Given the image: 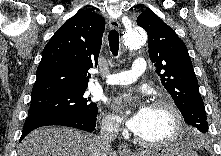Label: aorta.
Segmentation results:
<instances>
[{"label":"aorta","mask_w":221,"mask_h":156,"mask_svg":"<svg viewBox=\"0 0 221 156\" xmlns=\"http://www.w3.org/2000/svg\"><path fill=\"white\" fill-rule=\"evenodd\" d=\"M146 40V33L138 27H132L123 34V44L129 49H136L143 46Z\"/></svg>","instance_id":"aorta-1"}]
</instances>
